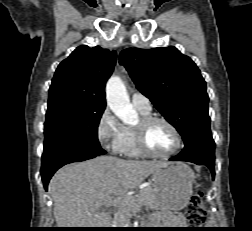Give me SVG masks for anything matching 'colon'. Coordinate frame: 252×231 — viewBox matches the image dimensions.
Returning <instances> with one entry per match:
<instances>
[{
    "label": "colon",
    "instance_id": "colon-1",
    "mask_svg": "<svg viewBox=\"0 0 252 231\" xmlns=\"http://www.w3.org/2000/svg\"><path fill=\"white\" fill-rule=\"evenodd\" d=\"M187 222L191 226H199L204 223L206 212L203 205V193H195L186 208Z\"/></svg>",
    "mask_w": 252,
    "mask_h": 231
}]
</instances>
